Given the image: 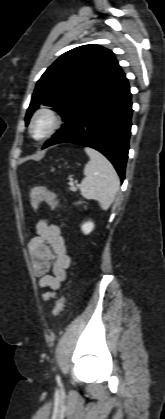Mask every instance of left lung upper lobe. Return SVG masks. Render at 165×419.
<instances>
[{
    "mask_svg": "<svg viewBox=\"0 0 165 419\" xmlns=\"http://www.w3.org/2000/svg\"><path fill=\"white\" fill-rule=\"evenodd\" d=\"M122 72L113 52L99 45H84L64 53L38 80L26 124L39 104L55 107L67 121Z\"/></svg>",
    "mask_w": 165,
    "mask_h": 419,
    "instance_id": "obj_1",
    "label": "left lung upper lobe"
}]
</instances>
